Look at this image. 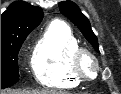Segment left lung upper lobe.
<instances>
[{
  "label": "left lung upper lobe",
  "instance_id": "1",
  "mask_svg": "<svg viewBox=\"0 0 121 94\" xmlns=\"http://www.w3.org/2000/svg\"><path fill=\"white\" fill-rule=\"evenodd\" d=\"M59 9L80 29L82 34L93 45V47L99 51L97 37L91 29L89 20L81 13L78 6L72 1L67 0L59 4Z\"/></svg>",
  "mask_w": 121,
  "mask_h": 94
}]
</instances>
